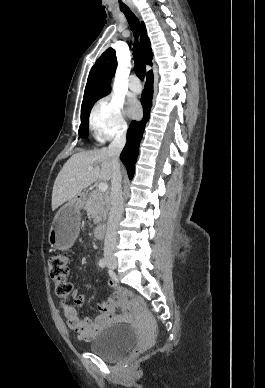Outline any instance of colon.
Instances as JSON below:
<instances>
[{
  "label": "colon",
  "mask_w": 265,
  "mask_h": 388,
  "mask_svg": "<svg viewBox=\"0 0 265 388\" xmlns=\"http://www.w3.org/2000/svg\"><path fill=\"white\" fill-rule=\"evenodd\" d=\"M69 271V260L65 255L55 254L48 261V275L54 283V292L63 302L68 301L73 296L74 288L67 280ZM141 348L133 351V356L141 353Z\"/></svg>",
  "instance_id": "colon-1"
}]
</instances>
